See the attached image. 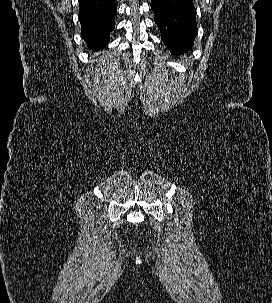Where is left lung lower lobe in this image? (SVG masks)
<instances>
[{
	"mask_svg": "<svg viewBox=\"0 0 272 303\" xmlns=\"http://www.w3.org/2000/svg\"><path fill=\"white\" fill-rule=\"evenodd\" d=\"M161 39L173 55L188 52L197 35L193 0H151Z\"/></svg>",
	"mask_w": 272,
	"mask_h": 303,
	"instance_id": "0a47b994",
	"label": "left lung lower lobe"
}]
</instances>
